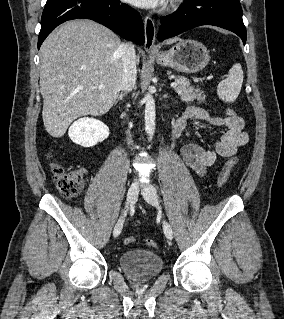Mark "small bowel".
<instances>
[{"label":"small bowel","mask_w":284,"mask_h":319,"mask_svg":"<svg viewBox=\"0 0 284 319\" xmlns=\"http://www.w3.org/2000/svg\"><path fill=\"white\" fill-rule=\"evenodd\" d=\"M196 119L214 127H223L221 138L212 149L204 148L196 143H187L180 149V155L187 167L193 170L199 177H204L207 170L212 167L218 157H231L237 150L245 146L249 141L248 134L244 131V120L239 117H220L211 115L207 110L190 106L175 121L173 130L179 136L187 125V120Z\"/></svg>","instance_id":"1"}]
</instances>
